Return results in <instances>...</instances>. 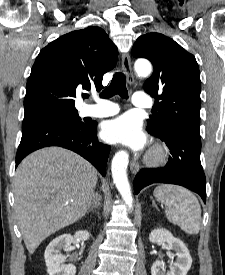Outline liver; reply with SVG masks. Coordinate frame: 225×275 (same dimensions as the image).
<instances>
[{
  "label": "liver",
  "instance_id": "6515ba94",
  "mask_svg": "<svg viewBox=\"0 0 225 275\" xmlns=\"http://www.w3.org/2000/svg\"><path fill=\"white\" fill-rule=\"evenodd\" d=\"M97 170L78 154L47 147L27 156L14 177L15 211L33 254L56 231L77 222L94 200Z\"/></svg>",
  "mask_w": 225,
  "mask_h": 275
}]
</instances>
